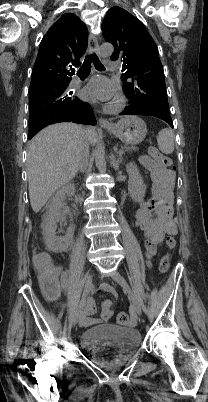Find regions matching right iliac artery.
I'll list each match as a JSON object with an SVG mask.
<instances>
[{
    "label": "right iliac artery",
    "mask_w": 208,
    "mask_h": 402,
    "mask_svg": "<svg viewBox=\"0 0 208 402\" xmlns=\"http://www.w3.org/2000/svg\"><path fill=\"white\" fill-rule=\"evenodd\" d=\"M86 295H87V292L84 290L80 303L85 299Z\"/></svg>",
    "instance_id": "obj_1"
}]
</instances>
